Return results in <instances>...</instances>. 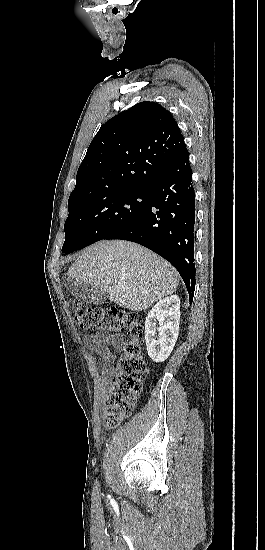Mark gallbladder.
Wrapping results in <instances>:
<instances>
[{
  "label": "gallbladder",
  "instance_id": "1",
  "mask_svg": "<svg viewBox=\"0 0 265 550\" xmlns=\"http://www.w3.org/2000/svg\"><path fill=\"white\" fill-rule=\"evenodd\" d=\"M67 290L85 303L101 305L106 300L104 291L87 283H77L71 278L65 281Z\"/></svg>",
  "mask_w": 265,
  "mask_h": 550
}]
</instances>
